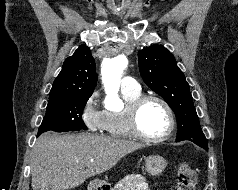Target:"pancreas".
I'll return each instance as SVG.
<instances>
[{
    "label": "pancreas",
    "instance_id": "obj_1",
    "mask_svg": "<svg viewBox=\"0 0 238 190\" xmlns=\"http://www.w3.org/2000/svg\"><path fill=\"white\" fill-rule=\"evenodd\" d=\"M110 190H150L143 178L128 177L120 180Z\"/></svg>",
    "mask_w": 238,
    "mask_h": 190
}]
</instances>
